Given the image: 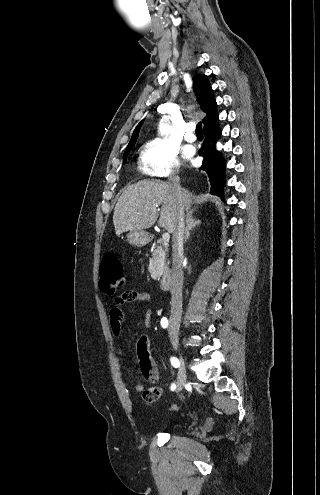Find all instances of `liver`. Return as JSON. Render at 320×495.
I'll list each match as a JSON object with an SVG mask.
<instances>
[{
    "label": "liver",
    "mask_w": 320,
    "mask_h": 495,
    "mask_svg": "<svg viewBox=\"0 0 320 495\" xmlns=\"http://www.w3.org/2000/svg\"><path fill=\"white\" fill-rule=\"evenodd\" d=\"M182 204L187 215L192 214V195L182 190ZM161 206L159 226L173 233L178 201L169 183L143 180L130 185L118 199L113 214V224L117 236L130 230L150 228L158 219Z\"/></svg>",
    "instance_id": "1"
}]
</instances>
